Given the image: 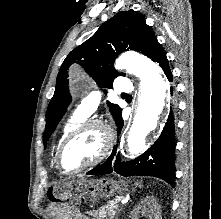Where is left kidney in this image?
Wrapping results in <instances>:
<instances>
[{"mask_svg":"<svg viewBox=\"0 0 221 219\" xmlns=\"http://www.w3.org/2000/svg\"><path fill=\"white\" fill-rule=\"evenodd\" d=\"M139 214L149 219H161V211L154 197L143 199L131 213V219H138Z\"/></svg>","mask_w":221,"mask_h":219,"instance_id":"obj_1","label":"left kidney"}]
</instances>
